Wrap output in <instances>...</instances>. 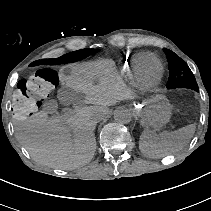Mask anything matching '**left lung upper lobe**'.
I'll return each mask as SVG.
<instances>
[{
	"mask_svg": "<svg viewBox=\"0 0 211 211\" xmlns=\"http://www.w3.org/2000/svg\"><path fill=\"white\" fill-rule=\"evenodd\" d=\"M163 50L169 63V80L167 82V88H190L199 91L195 77L188 65L171 50L166 48Z\"/></svg>",
	"mask_w": 211,
	"mask_h": 211,
	"instance_id": "obj_1",
	"label": "left lung upper lobe"
}]
</instances>
